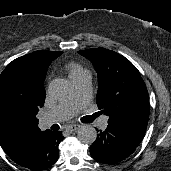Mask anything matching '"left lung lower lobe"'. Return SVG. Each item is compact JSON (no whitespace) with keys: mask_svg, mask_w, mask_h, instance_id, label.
Segmentation results:
<instances>
[{"mask_svg":"<svg viewBox=\"0 0 171 171\" xmlns=\"http://www.w3.org/2000/svg\"><path fill=\"white\" fill-rule=\"evenodd\" d=\"M141 141V138L108 125L105 131L97 135L90 147V154L102 163L116 164L133 153Z\"/></svg>","mask_w":171,"mask_h":171,"instance_id":"obj_1","label":"left lung lower lobe"}]
</instances>
